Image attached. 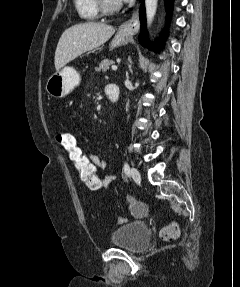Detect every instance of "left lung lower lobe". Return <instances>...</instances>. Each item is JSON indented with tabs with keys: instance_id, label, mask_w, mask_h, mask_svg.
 Instances as JSON below:
<instances>
[{
	"instance_id": "obj_1",
	"label": "left lung lower lobe",
	"mask_w": 240,
	"mask_h": 287,
	"mask_svg": "<svg viewBox=\"0 0 240 287\" xmlns=\"http://www.w3.org/2000/svg\"><path fill=\"white\" fill-rule=\"evenodd\" d=\"M143 1V0H142ZM167 3V7L169 9V11L171 10V3L172 0H165ZM140 21H141V33L138 37L139 42L141 44H145L146 40H147V32L145 30V10H144V3H142L141 7H140ZM166 35V34H165Z\"/></svg>"
}]
</instances>
